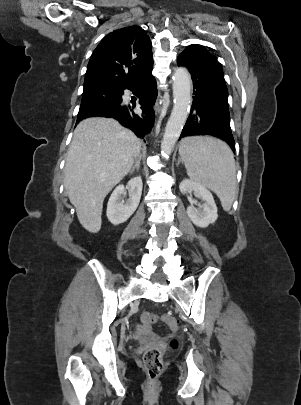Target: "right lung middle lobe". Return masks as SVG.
Returning <instances> with one entry per match:
<instances>
[{
    "label": "right lung middle lobe",
    "instance_id": "right-lung-middle-lobe-1",
    "mask_svg": "<svg viewBox=\"0 0 301 405\" xmlns=\"http://www.w3.org/2000/svg\"><path fill=\"white\" fill-rule=\"evenodd\" d=\"M122 91L112 88H94L83 91L80 112L122 101Z\"/></svg>",
    "mask_w": 301,
    "mask_h": 405
}]
</instances>
